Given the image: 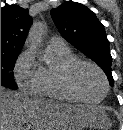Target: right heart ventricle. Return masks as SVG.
Wrapping results in <instances>:
<instances>
[{"instance_id": "1", "label": "right heart ventricle", "mask_w": 123, "mask_h": 130, "mask_svg": "<svg viewBox=\"0 0 123 130\" xmlns=\"http://www.w3.org/2000/svg\"><path fill=\"white\" fill-rule=\"evenodd\" d=\"M49 52L55 58L54 65H41V77L36 91V95L50 99L72 102L75 101L63 89L59 79V67L66 62L77 58L73 51L68 47L48 46Z\"/></svg>"}]
</instances>
